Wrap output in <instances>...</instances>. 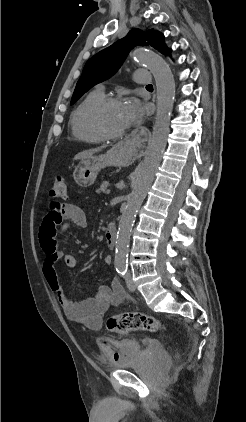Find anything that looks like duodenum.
<instances>
[{
    "label": "duodenum",
    "instance_id": "410a0bca",
    "mask_svg": "<svg viewBox=\"0 0 246 422\" xmlns=\"http://www.w3.org/2000/svg\"><path fill=\"white\" fill-rule=\"evenodd\" d=\"M117 229L113 223L108 224L105 232V241L109 249L114 250L116 247Z\"/></svg>",
    "mask_w": 246,
    "mask_h": 422
}]
</instances>
